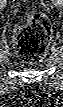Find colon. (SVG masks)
I'll return each instance as SVG.
<instances>
[{"label": "colon", "mask_w": 63, "mask_h": 107, "mask_svg": "<svg viewBox=\"0 0 63 107\" xmlns=\"http://www.w3.org/2000/svg\"><path fill=\"white\" fill-rule=\"evenodd\" d=\"M51 38L47 17L36 11L28 14L26 23L14 34L17 56L26 63L38 62L46 53Z\"/></svg>", "instance_id": "1"}]
</instances>
